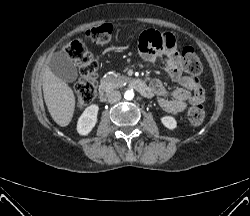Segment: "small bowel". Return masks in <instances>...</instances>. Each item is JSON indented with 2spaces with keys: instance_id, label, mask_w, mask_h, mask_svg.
Wrapping results in <instances>:
<instances>
[{
  "instance_id": "c3829d8e",
  "label": "small bowel",
  "mask_w": 250,
  "mask_h": 216,
  "mask_svg": "<svg viewBox=\"0 0 250 216\" xmlns=\"http://www.w3.org/2000/svg\"><path fill=\"white\" fill-rule=\"evenodd\" d=\"M139 49L143 58L150 62L161 60L165 52L167 59L164 60V68L173 80L181 84L180 88L169 91L160 80L150 83L152 95L156 96L161 109L176 115L197 102H203L204 91L200 81L183 72L176 53L175 38L171 33L146 31L139 39Z\"/></svg>"
}]
</instances>
